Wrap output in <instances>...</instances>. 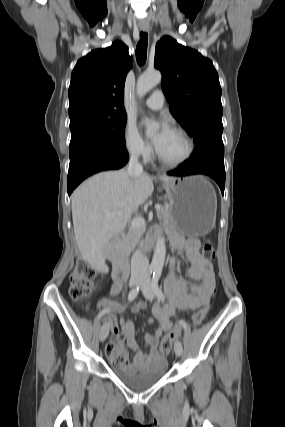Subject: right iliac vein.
<instances>
[{"instance_id":"63e3f726","label":"right iliac vein","mask_w":285,"mask_h":427,"mask_svg":"<svg viewBox=\"0 0 285 427\" xmlns=\"http://www.w3.org/2000/svg\"><path fill=\"white\" fill-rule=\"evenodd\" d=\"M140 282H141L140 277L133 278L130 280V286L133 287L135 285L140 284ZM108 334H109V324L106 323V324H103V326L100 329V333H99L100 341L103 342L107 338Z\"/></svg>"}]
</instances>
